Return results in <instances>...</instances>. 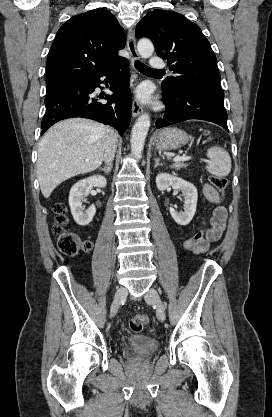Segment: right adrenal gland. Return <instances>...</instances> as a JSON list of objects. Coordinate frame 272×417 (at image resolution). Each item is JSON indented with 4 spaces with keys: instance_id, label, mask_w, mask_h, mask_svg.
I'll use <instances>...</instances> for the list:
<instances>
[{
    "instance_id": "1",
    "label": "right adrenal gland",
    "mask_w": 272,
    "mask_h": 417,
    "mask_svg": "<svg viewBox=\"0 0 272 417\" xmlns=\"http://www.w3.org/2000/svg\"><path fill=\"white\" fill-rule=\"evenodd\" d=\"M99 170H101V171H103L104 173H106V174H108V173H110L111 172V170H112V164L110 163V164H108L107 166H105V167H100L99 168Z\"/></svg>"
}]
</instances>
